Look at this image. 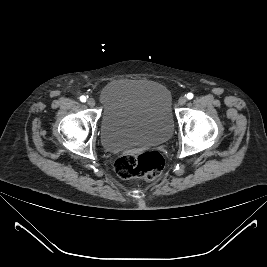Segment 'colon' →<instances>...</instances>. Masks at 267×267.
<instances>
[{
	"label": "colon",
	"mask_w": 267,
	"mask_h": 267,
	"mask_svg": "<svg viewBox=\"0 0 267 267\" xmlns=\"http://www.w3.org/2000/svg\"><path fill=\"white\" fill-rule=\"evenodd\" d=\"M163 156L155 151L140 154H126L114 164L116 174L122 179H155L164 168Z\"/></svg>",
	"instance_id": "5ec220e1"
}]
</instances>
